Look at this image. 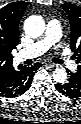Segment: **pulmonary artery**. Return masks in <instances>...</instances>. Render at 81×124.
Here are the masks:
<instances>
[{"instance_id":"e3ab8cb5","label":"pulmonary artery","mask_w":81,"mask_h":124,"mask_svg":"<svg viewBox=\"0 0 81 124\" xmlns=\"http://www.w3.org/2000/svg\"><path fill=\"white\" fill-rule=\"evenodd\" d=\"M62 35L61 24L57 19H51L47 22L46 32L42 38L33 43L29 48L20 51L16 58L19 61L32 59L45 53L51 46L57 44ZM59 58L63 63L71 68L76 69V64L70 59V56L65 51L59 52Z\"/></svg>"}]
</instances>
